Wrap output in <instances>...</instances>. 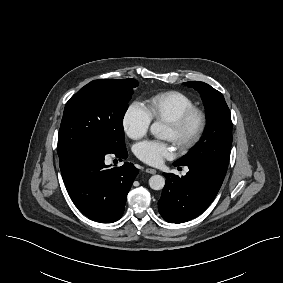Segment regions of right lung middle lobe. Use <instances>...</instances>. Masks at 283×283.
Listing matches in <instances>:
<instances>
[{
    "label": "right lung middle lobe",
    "mask_w": 283,
    "mask_h": 283,
    "mask_svg": "<svg viewBox=\"0 0 283 283\" xmlns=\"http://www.w3.org/2000/svg\"><path fill=\"white\" fill-rule=\"evenodd\" d=\"M135 79H99L82 87L65 105L58 135V155L82 146L125 147L123 118Z\"/></svg>",
    "instance_id": "1"
}]
</instances>
